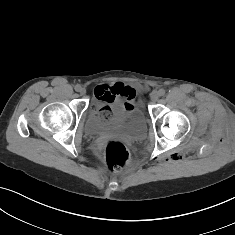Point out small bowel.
Listing matches in <instances>:
<instances>
[{
    "label": "small bowel",
    "mask_w": 235,
    "mask_h": 235,
    "mask_svg": "<svg viewBox=\"0 0 235 235\" xmlns=\"http://www.w3.org/2000/svg\"><path fill=\"white\" fill-rule=\"evenodd\" d=\"M140 94V89H135L126 86L123 83L117 82L114 84H100L94 88V98L96 101L115 106L123 101L124 105H131L136 100H133V95ZM108 107L109 106H104Z\"/></svg>",
    "instance_id": "c3829d8e"
}]
</instances>
